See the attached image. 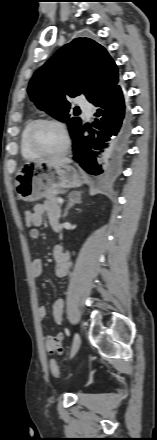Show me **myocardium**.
<instances>
[{
    "mask_svg": "<svg viewBox=\"0 0 157 440\" xmlns=\"http://www.w3.org/2000/svg\"><path fill=\"white\" fill-rule=\"evenodd\" d=\"M43 125H54V126H57L62 131L64 139H65V145L60 151L46 152L38 146V144L36 142V134H37V131L39 130V128ZM28 141H29L30 147L36 153H38L42 156H50V157H57V156L65 155L70 151L71 146H72L71 136H70L65 124L63 122H61L60 120L53 119V118H44V119L37 120L33 124V126L31 127V129L29 131Z\"/></svg>",
    "mask_w": 157,
    "mask_h": 440,
    "instance_id": "obj_1",
    "label": "myocardium"
}]
</instances>
